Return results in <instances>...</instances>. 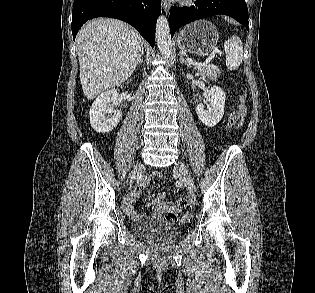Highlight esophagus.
<instances>
[{
	"label": "esophagus",
	"mask_w": 315,
	"mask_h": 293,
	"mask_svg": "<svg viewBox=\"0 0 315 293\" xmlns=\"http://www.w3.org/2000/svg\"><path fill=\"white\" fill-rule=\"evenodd\" d=\"M161 4L164 12L168 13L170 10V3L168 2V0H161Z\"/></svg>",
	"instance_id": "obj_1"
}]
</instances>
